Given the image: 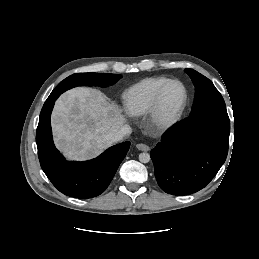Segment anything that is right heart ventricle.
<instances>
[{
	"mask_svg": "<svg viewBox=\"0 0 259 259\" xmlns=\"http://www.w3.org/2000/svg\"><path fill=\"white\" fill-rule=\"evenodd\" d=\"M168 80L169 78L163 76L149 77L126 89L122 95L126 113L133 117L149 114L157 91Z\"/></svg>",
	"mask_w": 259,
	"mask_h": 259,
	"instance_id": "1",
	"label": "right heart ventricle"
}]
</instances>
